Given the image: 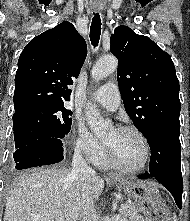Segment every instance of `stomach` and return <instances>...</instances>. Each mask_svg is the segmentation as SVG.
Returning <instances> with one entry per match:
<instances>
[{
  "label": "stomach",
  "instance_id": "stomach-1",
  "mask_svg": "<svg viewBox=\"0 0 190 221\" xmlns=\"http://www.w3.org/2000/svg\"><path fill=\"white\" fill-rule=\"evenodd\" d=\"M113 182L132 198L138 213H143L142 221H170L168 211L162 202L156 186L149 181L114 178Z\"/></svg>",
  "mask_w": 190,
  "mask_h": 221
}]
</instances>
